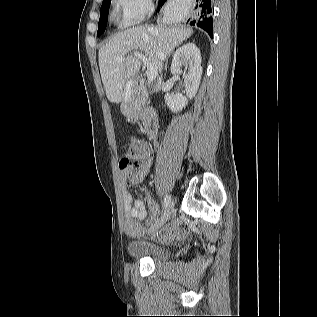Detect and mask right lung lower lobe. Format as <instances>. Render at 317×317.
I'll use <instances>...</instances> for the list:
<instances>
[{
  "mask_svg": "<svg viewBox=\"0 0 317 317\" xmlns=\"http://www.w3.org/2000/svg\"><path fill=\"white\" fill-rule=\"evenodd\" d=\"M166 0H160L162 6ZM192 21L190 25H197L213 36L211 0H193ZM190 20V19H189ZM188 20V21H189Z\"/></svg>",
  "mask_w": 317,
  "mask_h": 317,
  "instance_id": "98d812e1",
  "label": "right lung lower lobe"
}]
</instances>
